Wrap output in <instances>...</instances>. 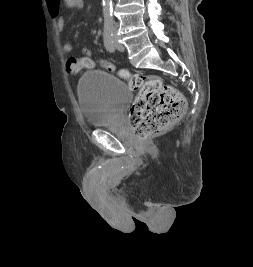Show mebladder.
<instances>
[{"mask_svg":"<svg viewBox=\"0 0 253 267\" xmlns=\"http://www.w3.org/2000/svg\"><path fill=\"white\" fill-rule=\"evenodd\" d=\"M132 96L128 84L105 72L87 71L78 83L85 122L95 128L112 124Z\"/></svg>","mask_w":253,"mask_h":267,"instance_id":"31cf9c89","label":"bladder"}]
</instances>
